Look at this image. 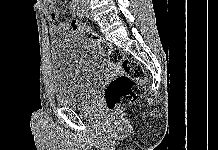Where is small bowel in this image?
I'll list each match as a JSON object with an SVG mask.
<instances>
[{
	"mask_svg": "<svg viewBox=\"0 0 218 150\" xmlns=\"http://www.w3.org/2000/svg\"><path fill=\"white\" fill-rule=\"evenodd\" d=\"M43 6L45 17L51 22L49 25V31L51 34L66 32L71 28L70 24L66 22L55 23V20H57L59 14L55 4L53 3V0H43ZM68 7L70 12L77 14V7L74 2H70Z\"/></svg>",
	"mask_w": 218,
	"mask_h": 150,
	"instance_id": "small-bowel-1",
	"label": "small bowel"
}]
</instances>
